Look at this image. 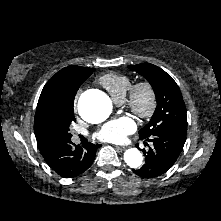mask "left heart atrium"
<instances>
[{"mask_svg":"<svg viewBox=\"0 0 221 221\" xmlns=\"http://www.w3.org/2000/svg\"><path fill=\"white\" fill-rule=\"evenodd\" d=\"M136 124L129 116H122L104 124L97 132L98 139L106 142H124L134 132Z\"/></svg>","mask_w":221,"mask_h":221,"instance_id":"left-heart-atrium-1","label":"left heart atrium"}]
</instances>
